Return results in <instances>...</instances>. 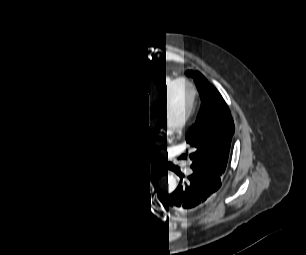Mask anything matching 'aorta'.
<instances>
[{"label":"aorta","instance_id":"aorta-1","mask_svg":"<svg viewBox=\"0 0 306 255\" xmlns=\"http://www.w3.org/2000/svg\"><path fill=\"white\" fill-rule=\"evenodd\" d=\"M150 126L152 127V124L150 122ZM177 186L176 178L173 175H163L159 179V187L167 192H172L175 190Z\"/></svg>","mask_w":306,"mask_h":255}]
</instances>
